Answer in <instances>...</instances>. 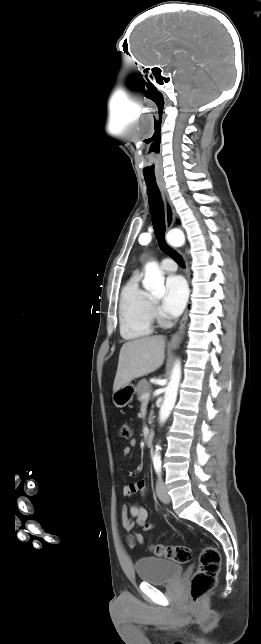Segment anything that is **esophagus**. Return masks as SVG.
<instances>
[{"label": "esophagus", "mask_w": 261, "mask_h": 644, "mask_svg": "<svg viewBox=\"0 0 261 644\" xmlns=\"http://www.w3.org/2000/svg\"><path fill=\"white\" fill-rule=\"evenodd\" d=\"M158 186H159L161 196H162V199H163V202H164V207H165L166 229L170 230L171 227L173 226L174 222H175L176 213H175L174 207L172 205V202H171V200L169 198V195L167 193V190H166L164 182L158 181ZM181 254H182L183 259H184L185 264H186V274H187V278L189 280V278H190V267H189L188 258H187V256L185 254H183V253H181ZM187 321H188V307L186 308V310L184 312V315H183V317H182V319L180 321V326H179L178 331L172 336V338L170 340V345L177 346L182 342L183 337H184V333H185V328H186Z\"/></svg>", "instance_id": "esophagus-1"}]
</instances>
